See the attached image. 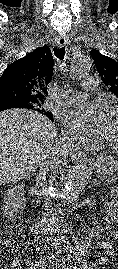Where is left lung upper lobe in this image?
I'll return each instance as SVG.
<instances>
[{"mask_svg":"<svg viewBox=\"0 0 118 269\" xmlns=\"http://www.w3.org/2000/svg\"><path fill=\"white\" fill-rule=\"evenodd\" d=\"M90 54L103 83L118 96V62L102 55L96 49H92Z\"/></svg>","mask_w":118,"mask_h":269,"instance_id":"obj_1","label":"left lung upper lobe"}]
</instances>
